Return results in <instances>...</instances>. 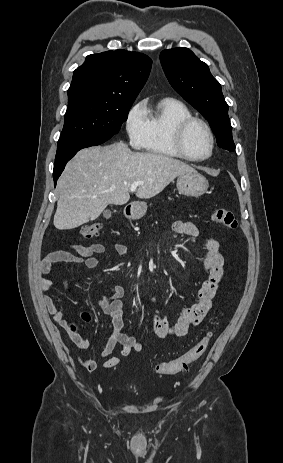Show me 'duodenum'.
Returning <instances> with one entry per match:
<instances>
[{
  "instance_id": "obj_1",
  "label": "duodenum",
  "mask_w": 283,
  "mask_h": 463,
  "mask_svg": "<svg viewBox=\"0 0 283 463\" xmlns=\"http://www.w3.org/2000/svg\"><path fill=\"white\" fill-rule=\"evenodd\" d=\"M137 213V204L136 203H130L126 207V215L129 217L135 216Z\"/></svg>"
}]
</instances>
